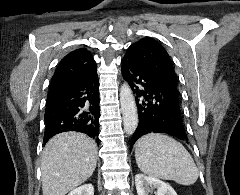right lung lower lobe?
<instances>
[{
	"label": "right lung lower lobe",
	"mask_w": 240,
	"mask_h": 195,
	"mask_svg": "<svg viewBox=\"0 0 240 195\" xmlns=\"http://www.w3.org/2000/svg\"><path fill=\"white\" fill-rule=\"evenodd\" d=\"M98 88L97 72L83 80L50 84L44 116V143L65 131L85 133L99 143Z\"/></svg>",
	"instance_id": "98d812e1"
}]
</instances>
